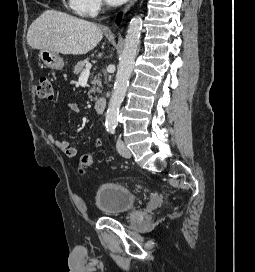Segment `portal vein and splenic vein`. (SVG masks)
I'll return each mask as SVG.
<instances>
[{
	"instance_id": "portal-vein-and-splenic-vein-1",
	"label": "portal vein and splenic vein",
	"mask_w": 255,
	"mask_h": 272,
	"mask_svg": "<svg viewBox=\"0 0 255 272\" xmlns=\"http://www.w3.org/2000/svg\"><path fill=\"white\" fill-rule=\"evenodd\" d=\"M91 67H92L91 64H87L86 67H85V69L82 71L81 75L82 76L83 75H89Z\"/></svg>"
}]
</instances>
